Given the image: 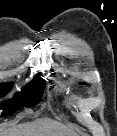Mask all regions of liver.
Wrapping results in <instances>:
<instances>
[{
    "mask_svg": "<svg viewBox=\"0 0 117 136\" xmlns=\"http://www.w3.org/2000/svg\"><path fill=\"white\" fill-rule=\"evenodd\" d=\"M61 129L62 127L57 123H53L51 121H45V120H37L31 123L20 125L14 129H10L9 133L6 134H17L13 136H44V135H31V134H33V132L36 131H48V130L60 131ZM53 136H62V135H53Z\"/></svg>",
    "mask_w": 117,
    "mask_h": 136,
    "instance_id": "obj_1",
    "label": "liver"
}]
</instances>
